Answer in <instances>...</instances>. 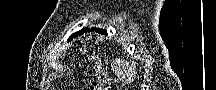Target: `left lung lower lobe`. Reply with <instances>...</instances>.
Returning a JSON list of instances; mask_svg holds the SVG:
<instances>
[{
    "label": "left lung lower lobe",
    "mask_w": 216,
    "mask_h": 90,
    "mask_svg": "<svg viewBox=\"0 0 216 90\" xmlns=\"http://www.w3.org/2000/svg\"><path fill=\"white\" fill-rule=\"evenodd\" d=\"M93 30H95V31H97V32H100V33H105V34H107L106 33V31H104V30H100V29H96V28H94V29H85L84 31H82V32H80L78 35H81V34H83V33H85V32H89V31H93ZM78 35H76V36H78ZM75 36V37H76Z\"/></svg>",
    "instance_id": "0a47b994"
}]
</instances>
